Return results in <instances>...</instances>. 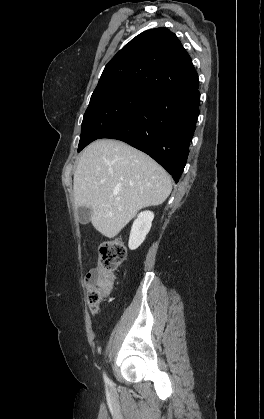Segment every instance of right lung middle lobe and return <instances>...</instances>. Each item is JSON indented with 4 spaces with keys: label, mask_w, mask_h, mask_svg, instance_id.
I'll return each instance as SVG.
<instances>
[{
    "label": "right lung middle lobe",
    "mask_w": 264,
    "mask_h": 419,
    "mask_svg": "<svg viewBox=\"0 0 264 419\" xmlns=\"http://www.w3.org/2000/svg\"><path fill=\"white\" fill-rule=\"evenodd\" d=\"M152 95L154 94L146 89L128 84L96 89L84 114L78 152L125 121Z\"/></svg>",
    "instance_id": "dd1d6c3e"
}]
</instances>
